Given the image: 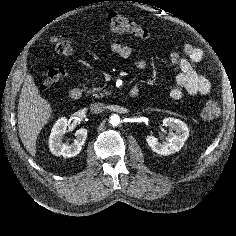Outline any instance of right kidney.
I'll use <instances>...</instances> for the list:
<instances>
[{
  "label": "right kidney",
  "mask_w": 236,
  "mask_h": 236,
  "mask_svg": "<svg viewBox=\"0 0 236 236\" xmlns=\"http://www.w3.org/2000/svg\"><path fill=\"white\" fill-rule=\"evenodd\" d=\"M67 119L60 118L54 124L49 136V148L55 156L62 155L65 158H71L78 155L87 138V129L80 128L75 132L73 144L62 143L63 135L67 132Z\"/></svg>",
  "instance_id": "ca27d5eb"
}]
</instances>
